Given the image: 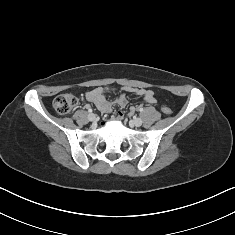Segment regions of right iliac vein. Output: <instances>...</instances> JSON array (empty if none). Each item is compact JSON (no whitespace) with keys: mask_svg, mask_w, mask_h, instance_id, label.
Listing matches in <instances>:
<instances>
[{"mask_svg":"<svg viewBox=\"0 0 235 235\" xmlns=\"http://www.w3.org/2000/svg\"><path fill=\"white\" fill-rule=\"evenodd\" d=\"M88 119H89L91 122H94V121H96V115L93 114V113H90V114L88 115Z\"/></svg>","mask_w":235,"mask_h":235,"instance_id":"63e3f726","label":"right iliac vein"}]
</instances>
